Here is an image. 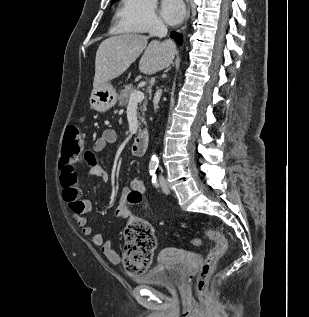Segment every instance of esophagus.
<instances>
[{"label":"esophagus","mask_w":309,"mask_h":317,"mask_svg":"<svg viewBox=\"0 0 309 317\" xmlns=\"http://www.w3.org/2000/svg\"><path fill=\"white\" fill-rule=\"evenodd\" d=\"M189 17H190V7H189L188 12H187L186 21L188 20Z\"/></svg>","instance_id":"esophagus-1"}]
</instances>
